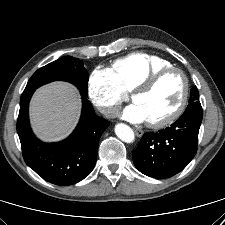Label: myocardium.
Instances as JSON below:
<instances>
[{"label":"myocardium","instance_id":"1","mask_svg":"<svg viewBox=\"0 0 225 225\" xmlns=\"http://www.w3.org/2000/svg\"><path fill=\"white\" fill-rule=\"evenodd\" d=\"M171 72H176L181 77V80H182L181 99L178 105L175 107V109L172 112H170L168 115H166L165 117L159 120L147 122L148 126L154 129H160L175 122L185 110V107L188 102V96H189V80L186 74L184 73L182 69L178 67H174V66L165 67L147 76L132 92V98H133L136 94L146 93L150 91L161 78H163L165 75Z\"/></svg>","mask_w":225,"mask_h":225}]
</instances>
